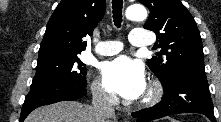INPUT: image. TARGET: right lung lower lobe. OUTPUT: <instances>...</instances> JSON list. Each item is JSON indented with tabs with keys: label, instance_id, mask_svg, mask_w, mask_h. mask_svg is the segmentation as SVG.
<instances>
[{
	"label": "right lung lower lobe",
	"instance_id": "obj_1",
	"mask_svg": "<svg viewBox=\"0 0 221 122\" xmlns=\"http://www.w3.org/2000/svg\"><path fill=\"white\" fill-rule=\"evenodd\" d=\"M86 85L59 84L31 89L26 96L19 122H23L29 113L37 107L59 101H72L87 94Z\"/></svg>",
	"mask_w": 221,
	"mask_h": 122
}]
</instances>
